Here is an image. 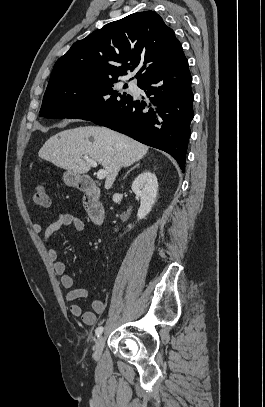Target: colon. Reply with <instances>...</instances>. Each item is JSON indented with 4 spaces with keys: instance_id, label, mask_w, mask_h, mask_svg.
Here are the masks:
<instances>
[{
    "instance_id": "obj_1",
    "label": "colon",
    "mask_w": 265,
    "mask_h": 407,
    "mask_svg": "<svg viewBox=\"0 0 265 407\" xmlns=\"http://www.w3.org/2000/svg\"><path fill=\"white\" fill-rule=\"evenodd\" d=\"M32 201L37 206H48L50 203L47 187L44 184H37L34 188Z\"/></svg>"
}]
</instances>
